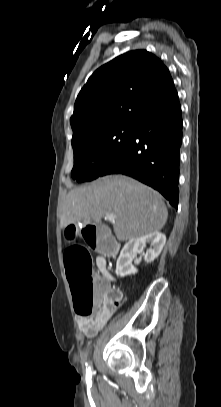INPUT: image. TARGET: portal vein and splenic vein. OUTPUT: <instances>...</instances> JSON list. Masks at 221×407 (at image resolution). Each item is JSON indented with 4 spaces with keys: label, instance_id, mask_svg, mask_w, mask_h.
<instances>
[{
    "label": "portal vein and splenic vein",
    "instance_id": "18ae733b",
    "mask_svg": "<svg viewBox=\"0 0 221 407\" xmlns=\"http://www.w3.org/2000/svg\"><path fill=\"white\" fill-rule=\"evenodd\" d=\"M105 219L114 222L115 217H114L113 214H107V215L105 216Z\"/></svg>",
    "mask_w": 221,
    "mask_h": 407
}]
</instances>
